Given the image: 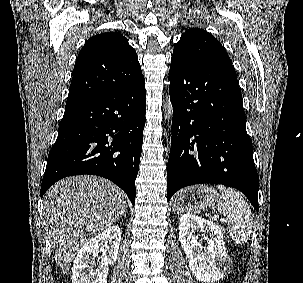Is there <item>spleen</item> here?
Listing matches in <instances>:
<instances>
[{
  "instance_id": "spleen-1",
  "label": "spleen",
  "mask_w": 303,
  "mask_h": 283,
  "mask_svg": "<svg viewBox=\"0 0 303 283\" xmlns=\"http://www.w3.org/2000/svg\"><path fill=\"white\" fill-rule=\"evenodd\" d=\"M217 188L222 192L217 201V210L227 218L230 237L237 244L246 243L253 229L250 206L238 191L222 185H218Z\"/></svg>"
}]
</instances>
